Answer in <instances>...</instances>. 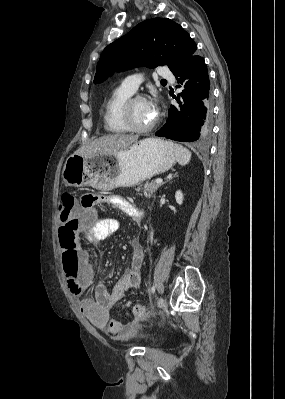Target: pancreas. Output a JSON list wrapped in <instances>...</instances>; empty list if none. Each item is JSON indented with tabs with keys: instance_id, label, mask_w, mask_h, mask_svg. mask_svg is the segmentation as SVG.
Masks as SVG:
<instances>
[{
	"instance_id": "pancreas-1",
	"label": "pancreas",
	"mask_w": 285,
	"mask_h": 399,
	"mask_svg": "<svg viewBox=\"0 0 285 399\" xmlns=\"http://www.w3.org/2000/svg\"><path fill=\"white\" fill-rule=\"evenodd\" d=\"M159 188V184L155 182H146L143 185H140L139 187L136 188L137 192H142L145 197H154V193L157 191Z\"/></svg>"
}]
</instances>
